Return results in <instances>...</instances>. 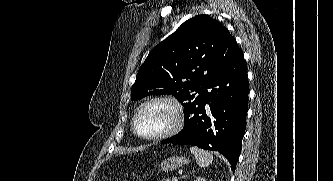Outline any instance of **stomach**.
I'll return each instance as SVG.
<instances>
[{
	"label": "stomach",
	"instance_id": "0dacf381",
	"mask_svg": "<svg viewBox=\"0 0 333 181\" xmlns=\"http://www.w3.org/2000/svg\"><path fill=\"white\" fill-rule=\"evenodd\" d=\"M188 160L185 157L182 156H173L170 158L165 159L160 167L161 170L169 172L178 169L182 165L186 164Z\"/></svg>",
	"mask_w": 333,
	"mask_h": 181
}]
</instances>
